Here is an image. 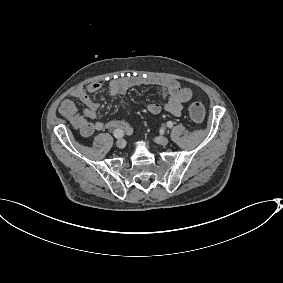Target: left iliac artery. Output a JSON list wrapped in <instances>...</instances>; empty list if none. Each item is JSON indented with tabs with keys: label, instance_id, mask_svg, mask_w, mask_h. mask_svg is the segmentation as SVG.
<instances>
[{
	"label": "left iliac artery",
	"instance_id": "left-iliac-artery-1",
	"mask_svg": "<svg viewBox=\"0 0 283 283\" xmlns=\"http://www.w3.org/2000/svg\"><path fill=\"white\" fill-rule=\"evenodd\" d=\"M167 126H168V128H172V127H173L172 121H168V122H167Z\"/></svg>",
	"mask_w": 283,
	"mask_h": 283
}]
</instances>
